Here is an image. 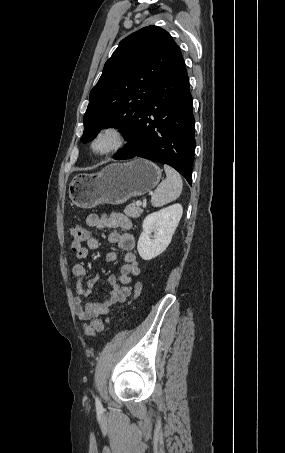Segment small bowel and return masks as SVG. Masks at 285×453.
<instances>
[{
	"mask_svg": "<svg viewBox=\"0 0 285 453\" xmlns=\"http://www.w3.org/2000/svg\"><path fill=\"white\" fill-rule=\"evenodd\" d=\"M86 225L97 229H118L108 235V241L118 246L121 255L109 251L106 254L108 262H114L119 257L124 262L120 275L108 277L109 290L102 301H89L83 303L98 281V276H93L85 281L87 270L83 264L77 263L72 267V273L76 278L74 286V311L80 321H87L100 315L107 314L109 310L118 303H123L136 298L141 290L142 283L134 281L140 275V268L134 253L135 239L128 231L132 227L130 219L121 213L110 215L90 214L86 218ZM86 247L76 252L78 259H85L90 250L99 248V240L96 237L88 236Z\"/></svg>",
	"mask_w": 285,
	"mask_h": 453,
	"instance_id": "c3829d8e",
	"label": "small bowel"
}]
</instances>
